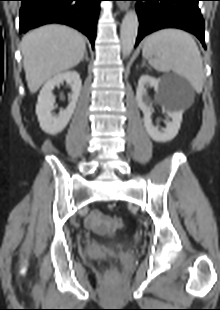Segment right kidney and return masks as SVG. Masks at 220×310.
<instances>
[{
    "label": "right kidney",
    "mask_w": 220,
    "mask_h": 310,
    "mask_svg": "<svg viewBox=\"0 0 220 310\" xmlns=\"http://www.w3.org/2000/svg\"><path fill=\"white\" fill-rule=\"evenodd\" d=\"M64 81H66L72 89V93L69 96V105L66 109L61 110L58 116H55L52 114V111L55 108V96L52 91L55 86L60 85ZM81 86L80 75L77 71H65L59 73L44 84L38 96V102L36 105L38 121L44 132L56 135L64 130L76 108Z\"/></svg>",
    "instance_id": "right-kidney-1"
}]
</instances>
